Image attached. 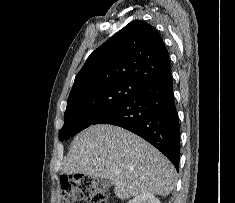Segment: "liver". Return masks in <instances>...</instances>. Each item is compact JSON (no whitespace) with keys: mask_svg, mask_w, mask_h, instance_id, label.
I'll return each instance as SVG.
<instances>
[{"mask_svg":"<svg viewBox=\"0 0 235 203\" xmlns=\"http://www.w3.org/2000/svg\"><path fill=\"white\" fill-rule=\"evenodd\" d=\"M62 173L108 179L121 200L143 193L168 196L176 178L174 166L159 150L109 124L92 125L74 138Z\"/></svg>","mask_w":235,"mask_h":203,"instance_id":"1","label":"liver"}]
</instances>
